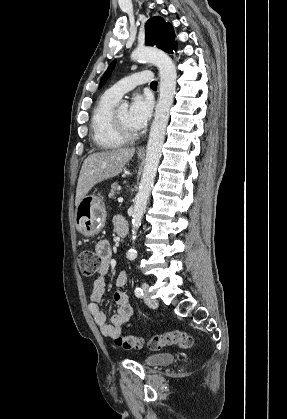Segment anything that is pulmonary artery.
<instances>
[{"mask_svg":"<svg viewBox=\"0 0 287 419\" xmlns=\"http://www.w3.org/2000/svg\"><path fill=\"white\" fill-rule=\"evenodd\" d=\"M153 81V74L148 70H144L124 77L112 85L106 93L112 98L119 100L124 93L132 90L136 86Z\"/></svg>","mask_w":287,"mask_h":419,"instance_id":"pulmonary-artery-1","label":"pulmonary artery"}]
</instances>
